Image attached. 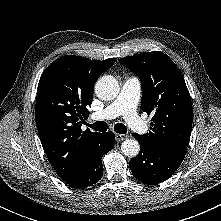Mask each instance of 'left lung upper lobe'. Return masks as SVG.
<instances>
[{
    "instance_id": "5c2ea615",
    "label": "left lung upper lobe",
    "mask_w": 221,
    "mask_h": 221,
    "mask_svg": "<svg viewBox=\"0 0 221 221\" xmlns=\"http://www.w3.org/2000/svg\"><path fill=\"white\" fill-rule=\"evenodd\" d=\"M141 79V109L154 114L151 131L135 134L151 148L185 156L193 110L183 75L175 63L159 51L119 59Z\"/></svg>"
}]
</instances>
